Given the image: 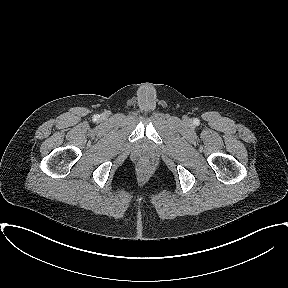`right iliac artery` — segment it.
Wrapping results in <instances>:
<instances>
[{"instance_id": "obj_1", "label": "right iliac artery", "mask_w": 288, "mask_h": 288, "mask_svg": "<svg viewBox=\"0 0 288 288\" xmlns=\"http://www.w3.org/2000/svg\"><path fill=\"white\" fill-rule=\"evenodd\" d=\"M98 118V116H95V119H97Z\"/></svg>"}]
</instances>
